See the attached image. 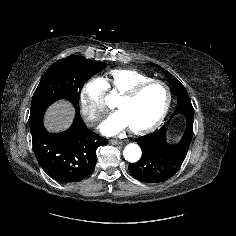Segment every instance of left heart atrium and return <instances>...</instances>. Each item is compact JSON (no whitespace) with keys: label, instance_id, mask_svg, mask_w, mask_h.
I'll return each instance as SVG.
<instances>
[{"label":"left heart atrium","instance_id":"1","mask_svg":"<svg viewBox=\"0 0 236 236\" xmlns=\"http://www.w3.org/2000/svg\"><path fill=\"white\" fill-rule=\"evenodd\" d=\"M129 124L124 116V114L120 111L113 113L110 115L100 126V131L103 135L113 136L124 129L128 128Z\"/></svg>","mask_w":236,"mask_h":236}]
</instances>
